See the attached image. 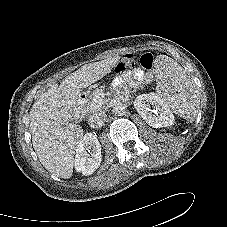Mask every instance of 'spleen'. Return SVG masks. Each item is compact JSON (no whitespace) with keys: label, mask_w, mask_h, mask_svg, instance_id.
<instances>
[{"label":"spleen","mask_w":227,"mask_h":227,"mask_svg":"<svg viewBox=\"0 0 227 227\" xmlns=\"http://www.w3.org/2000/svg\"><path fill=\"white\" fill-rule=\"evenodd\" d=\"M157 94L168 107L189 121H194L200 106L198 89L176 61L166 55L156 60Z\"/></svg>","instance_id":"obj_1"}]
</instances>
